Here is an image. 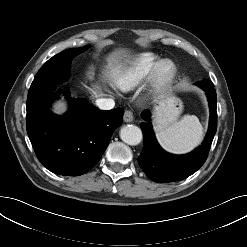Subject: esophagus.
I'll return each instance as SVG.
<instances>
[{"instance_id": "esophagus-1", "label": "esophagus", "mask_w": 247, "mask_h": 247, "mask_svg": "<svg viewBox=\"0 0 247 247\" xmlns=\"http://www.w3.org/2000/svg\"><path fill=\"white\" fill-rule=\"evenodd\" d=\"M123 119L126 123L132 122L134 119L133 113L129 110L125 111Z\"/></svg>"}]
</instances>
